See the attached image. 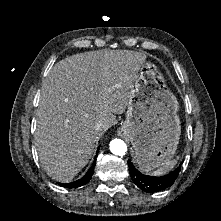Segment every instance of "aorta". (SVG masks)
<instances>
[{
	"mask_svg": "<svg viewBox=\"0 0 221 221\" xmlns=\"http://www.w3.org/2000/svg\"><path fill=\"white\" fill-rule=\"evenodd\" d=\"M110 151L118 156H123L127 152V145L121 139H113L110 142Z\"/></svg>",
	"mask_w": 221,
	"mask_h": 221,
	"instance_id": "obj_1",
	"label": "aorta"
}]
</instances>
